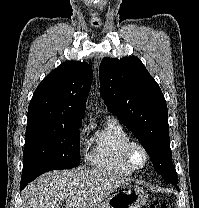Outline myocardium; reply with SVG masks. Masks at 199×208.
Instances as JSON below:
<instances>
[{
    "instance_id": "f54148a6",
    "label": "myocardium",
    "mask_w": 199,
    "mask_h": 208,
    "mask_svg": "<svg viewBox=\"0 0 199 208\" xmlns=\"http://www.w3.org/2000/svg\"><path fill=\"white\" fill-rule=\"evenodd\" d=\"M134 147L140 148L144 155V162L141 165L136 164L132 158V150ZM122 155L125 163L133 171L144 169L148 165L150 160V155L146 146L141 141L135 139H130L129 141L126 142V144L123 147Z\"/></svg>"
}]
</instances>
